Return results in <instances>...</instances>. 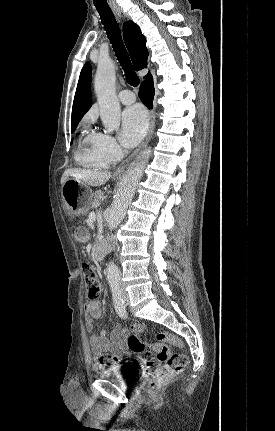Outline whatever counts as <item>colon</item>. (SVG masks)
<instances>
[{
    "mask_svg": "<svg viewBox=\"0 0 275 431\" xmlns=\"http://www.w3.org/2000/svg\"><path fill=\"white\" fill-rule=\"evenodd\" d=\"M82 269L89 296L95 298L101 292L99 271L89 263H84ZM156 337L159 341L167 342L173 346H182L181 340L171 334L159 332ZM126 346L129 351L141 354L145 360L148 372L153 375L152 380L148 385V389L150 391L160 389L167 383L173 374L182 371L188 364L186 354L181 352H172L168 347L160 344L148 345L141 341L135 334H129L127 336ZM151 351L157 352L158 360L153 357ZM159 361L165 362V365L160 367ZM111 363V355H102L98 357V364L101 367L108 366Z\"/></svg>",
    "mask_w": 275,
    "mask_h": 431,
    "instance_id": "5ec220e1",
    "label": "colon"
}]
</instances>
